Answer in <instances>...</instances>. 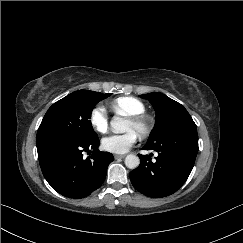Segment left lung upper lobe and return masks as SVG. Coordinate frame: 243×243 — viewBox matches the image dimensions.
<instances>
[{"label":"left lung upper lobe","instance_id":"left-lung-upper-lobe-1","mask_svg":"<svg viewBox=\"0 0 243 243\" xmlns=\"http://www.w3.org/2000/svg\"><path fill=\"white\" fill-rule=\"evenodd\" d=\"M140 97L149 100L156 110L155 126L147 144L161 142L179 133L196 129L190 114L180 103L159 92L140 95Z\"/></svg>","mask_w":243,"mask_h":243}]
</instances>
